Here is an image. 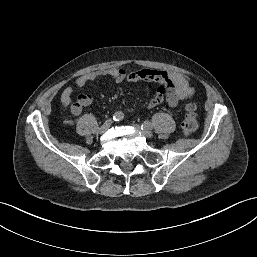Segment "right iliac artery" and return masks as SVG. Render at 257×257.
Segmentation results:
<instances>
[{
  "label": "right iliac artery",
  "mask_w": 257,
  "mask_h": 257,
  "mask_svg": "<svg viewBox=\"0 0 257 257\" xmlns=\"http://www.w3.org/2000/svg\"><path fill=\"white\" fill-rule=\"evenodd\" d=\"M124 118V114L120 111L116 112L114 115H113V120L114 121H120Z\"/></svg>",
  "instance_id": "obj_1"
}]
</instances>
